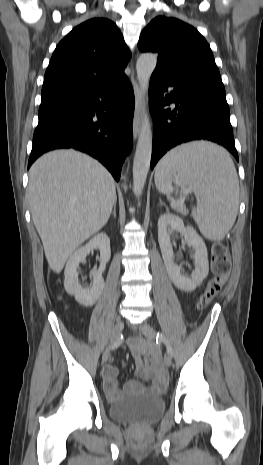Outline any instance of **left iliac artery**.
Listing matches in <instances>:
<instances>
[{"instance_id":"44dca946","label":"left iliac artery","mask_w":263,"mask_h":465,"mask_svg":"<svg viewBox=\"0 0 263 465\" xmlns=\"http://www.w3.org/2000/svg\"><path fill=\"white\" fill-rule=\"evenodd\" d=\"M156 341H157V343H158V341H159V342H162V343L166 346L167 353H168L171 357L173 356V349H172V346H171L169 340L165 337V335H164L162 332H158V333H157Z\"/></svg>"}]
</instances>
